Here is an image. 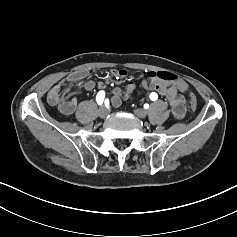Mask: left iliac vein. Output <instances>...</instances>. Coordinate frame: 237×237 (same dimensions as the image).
Instances as JSON below:
<instances>
[{
  "instance_id": "left-iliac-vein-1",
  "label": "left iliac vein",
  "mask_w": 237,
  "mask_h": 237,
  "mask_svg": "<svg viewBox=\"0 0 237 237\" xmlns=\"http://www.w3.org/2000/svg\"><path fill=\"white\" fill-rule=\"evenodd\" d=\"M134 113L139 118H144L147 116V111L145 109H135Z\"/></svg>"
}]
</instances>
